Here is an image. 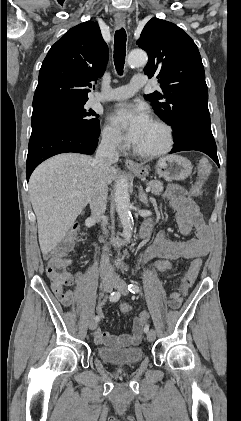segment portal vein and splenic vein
Returning <instances> with one entry per match:
<instances>
[{
  "label": "portal vein and splenic vein",
  "instance_id": "portal-vein-and-splenic-vein-1",
  "mask_svg": "<svg viewBox=\"0 0 241 421\" xmlns=\"http://www.w3.org/2000/svg\"><path fill=\"white\" fill-rule=\"evenodd\" d=\"M150 190H151V188H150V187H147V188H146V192H149ZM71 196H72V197H73V196H80V193H79V192H75V193H73Z\"/></svg>",
  "mask_w": 241,
  "mask_h": 421
}]
</instances>
